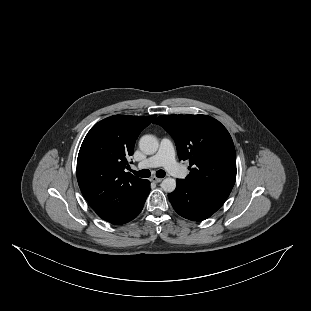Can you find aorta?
<instances>
[{
  "instance_id": "obj_1",
  "label": "aorta",
  "mask_w": 311,
  "mask_h": 311,
  "mask_svg": "<svg viewBox=\"0 0 311 311\" xmlns=\"http://www.w3.org/2000/svg\"><path fill=\"white\" fill-rule=\"evenodd\" d=\"M139 148L146 155H153L158 151L159 141L153 135H144L139 140ZM176 180L171 177L165 178L161 187L166 192H173L176 188Z\"/></svg>"
}]
</instances>
